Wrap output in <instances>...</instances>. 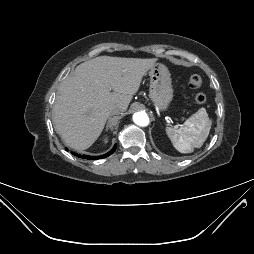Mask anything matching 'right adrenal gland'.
I'll use <instances>...</instances> for the list:
<instances>
[{"label":"right adrenal gland","mask_w":254,"mask_h":254,"mask_svg":"<svg viewBox=\"0 0 254 254\" xmlns=\"http://www.w3.org/2000/svg\"><path fill=\"white\" fill-rule=\"evenodd\" d=\"M110 119H111V118H109V120H108V122H107L106 130H108ZM110 128H112V126H110Z\"/></svg>","instance_id":"1"}]
</instances>
